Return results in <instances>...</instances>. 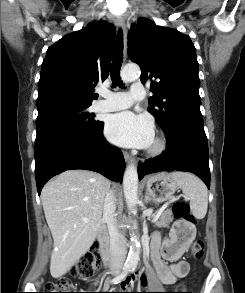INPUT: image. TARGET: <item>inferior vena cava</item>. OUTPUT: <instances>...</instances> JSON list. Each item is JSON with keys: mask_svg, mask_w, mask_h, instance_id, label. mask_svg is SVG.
Segmentation results:
<instances>
[{"mask_svg": "<svg viewBox=\"0 0 245 293\" xmlns=\"http://www.w3.org/2000/svg\"><path fill=\"white\" fill-rule=\"evenodd\" d=\"M115 197L112 190L106 193L103 205V219L105 220L110 236V264L111 269L120 270L124 264L126 245L119 232L115 220Z\"/></svg>", "mask_w": 245, "mask_h": 293, "instance_id": "1", "label": "inferior vena cava"}]
</instances>
